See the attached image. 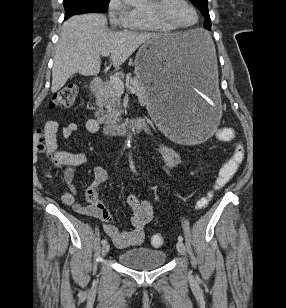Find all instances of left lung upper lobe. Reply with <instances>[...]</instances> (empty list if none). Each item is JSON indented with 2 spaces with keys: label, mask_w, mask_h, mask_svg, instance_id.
I'll return each instance as SVG.
<instances>
[{
  "label": "left lung upper lobe",
  "mask_w": 286,
  "mask_h": 308,
  "mask_svg": "<svg viewBox=\"0 0 286 308\" xmlns=\"http://www.w3.org/2000/svg\"><path fill=\"white\" fill-rule=\"evenodd\" d=\"M205 16L206 20L204 22V27L208 30L211 28V20L208 11L207 0H190Z\"/></svg>",
  "instance_id": "left-lung-upper-lobe-1"
}]
</instances>
